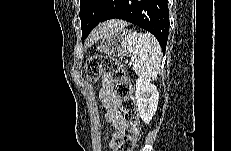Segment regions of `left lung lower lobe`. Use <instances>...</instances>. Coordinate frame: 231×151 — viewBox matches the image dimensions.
Masks as SVG:
<instances>
[{"mask_svg":"<svg viewBox=\"0 0 231 151\" xmlns=\"http://www.w3.org/2000/svg\"><path fill=\"white\" fill-rule=\"evenodd\" d=\"M115 18L126 20L152 33L165 53L169 29L167 0H117L100 22Z\"/></svg>","mask_w":231,"mask_h":151,"instance_id":"obj_1","label":"left lung lower lobe"}]
</instances>
